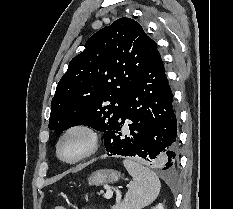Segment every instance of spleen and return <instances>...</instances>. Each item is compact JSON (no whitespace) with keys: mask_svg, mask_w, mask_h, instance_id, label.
<instances>
[{"mask_svg":"<svg viewBox=\"0 0 233 209\" xmlns=\"http://www.w3.org/2000/svg\"><path fill=\"white\" fill-rule=\"evenodd\" d=\"M123 164L133 177V183L129 186L123 202L113 206L112 209H142L148 206L160 192L161 183L158 176L133 159H125Z\"/></svg>","mask_w":233,"mask_h":209,"instance_id":"1","label":"spleen"}]
</instances>
